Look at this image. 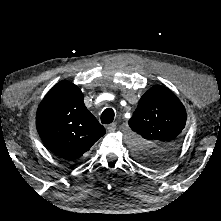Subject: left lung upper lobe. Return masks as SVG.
Here are the masks:
<instances>
[{"mask_svg": "<svg viewBox=\"0 0 221 221\" xmlns=\"http://www.w3.org/2000/svg\"><path fill=\"white\" fill-rule=\"evenodd\" d=\"M185 124L186 111L175 94L160 85L150 88L129 120L136 159L154 168L166 165L179 149Z\"/></svg>", "mask_w": 221, "mask_h": 221, "instance_id": "left-lung-upper-lobe-1", "label": "left lung upper lobe"}]
</instances>
